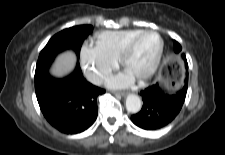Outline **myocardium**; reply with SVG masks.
<instances>
[{"label":"myocardium","mask_w":225,"mask_h":155,"mask_svg":"<svg viewBox=\"0 0 225 155\" xmlns=\"http://www.w3.org/2000/svg\"><path fill=\"white\" fill-rule=\"evenodd\" d=\"M147 34L157 35L160 40V47H159V51L156 56V59L154 60L150 69L144 75H142L141 77L138 78V80L141 82H144V81H147L148 79H150L155 74V72L157 71V69L161 63L163 53H164V47H165L164 39L161 36V34L156 30H143V31L139 32L126 44V46L122 50L121 55L119 57L120 65L122 67H125L126 61L129 58V56L132 54V52L134 51L138 41Z\"/></svg>","instance_id":"myocardium-1"}]
</instances>
